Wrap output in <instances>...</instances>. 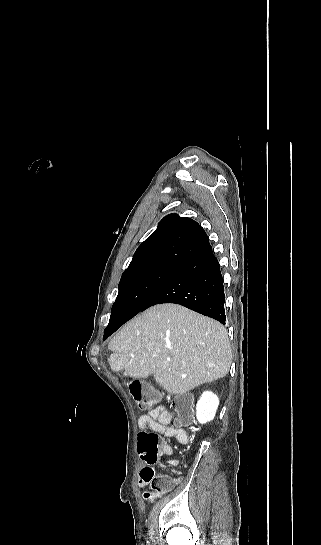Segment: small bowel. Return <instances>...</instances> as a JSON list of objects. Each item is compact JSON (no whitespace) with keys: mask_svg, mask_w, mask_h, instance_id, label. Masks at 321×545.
<instances>
[{"mask_svg":"<svg viewBox=\"0 0 321 545\" xmlns=\"http://www.w3.org/2000/svg\"><path fill=\"white\" fill-rule=\"evenodd\" d=\"M172 422V415L163 408H156L150 411L148 414L142 415L138 420V427L140 430L146 428L151 429L157 434H160L166 438H176L180 443L185 444L188 442V432L185 428L170 426ZM161 454L171 455L172 448L170 445L163 443L160 450ZM145 466L141 469L138 485L144 487L149 484V478L155 475L154 465L155 460H147L144 458ZM168 464L177 466L179 462L177 460H168ZM179 480V478H178Z\"/></svg>","mask_w":321,"mask_h":545,"instance_id":"small-bowel-1","label":"small bowel"}]
</instances>
